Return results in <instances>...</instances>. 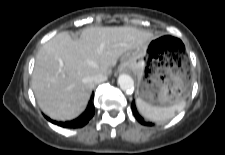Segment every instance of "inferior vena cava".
Segmentation results:
<instances>
[{
  "instance_id": "obj_1",
  "label": "inferior vena cava",
  "mask_w": 225,
  "mask_h": 155,
  "mask_svg": "<svg viewBox=\"0 0 225 155\" xmlns=\"http://www.w3.org/2000/svg\"><path fill=\"white\" fill-rule=\"evenodd\" d=\"M107 80V75L106 74H103V73H99V74H96L94 77H93V81L94 83L98 84V83H101V82H104Z\"/></svg>"
}]
</instances>
